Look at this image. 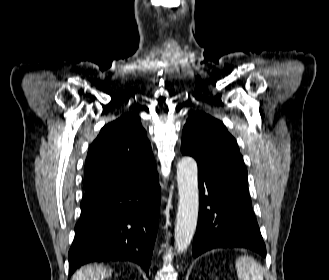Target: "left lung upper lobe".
<instances>
[{"label":"left lung upper lobe","mask_w":329,"mask_h":280,"mask_svg":"<svg viewBox=\"0 0 329 280\" xmlns=\"http://www.w3.org/2000/svg\"><path fill=\"white\" fill-rule=\"evenodd\" d=\"M181 151L196 159L199 187L220 193L247 185V170L236 140L221 121L210 115L200 111L190 114Z\"/></svg>","instance_id":"obj_1"}]
</instances>
